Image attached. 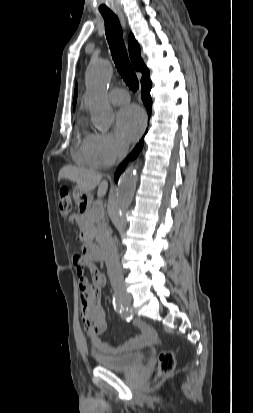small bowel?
Segmentation results:
<instances>
[{
    "mask_svg": "<svg viewBox=\"0 0 253 413\" xmlns=\"http://www.w3.org/2000/svg\"><path fill=\"white\" fill-rule=\"evenodd\" d=\"M79 219L80 215L78 214L70 216V221L72 222H78ZM73 264L77 268L78 275L80 276V316L96 353L116 355L128 350L145 347L156 341L157 335L155 330L141 321L135 323L140 333L131 338L127 343L113 346L102 341L100 334L103 333L106 328V315L101 306V290L106 283L105 274L97 269L93 260L81 253L74 254ZM84 267L90 272V280H87L83 276Z\"/></svg>",
    "mask_w": 253,
    "mask_h": 413,
    "instance_id": "small-bowel-1",
    "label": "small bowel"
}]
</instances>
